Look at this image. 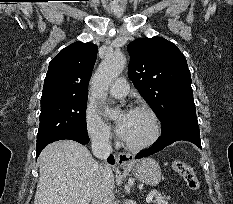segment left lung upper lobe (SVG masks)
I'll return each mask as SVG.
<instances>
[{
  "label": "left lung upper lobe",
  "instance_id": "obj_1",
  "mask_svg": "<svg viewBox=\"0 0 233 204\" xmlns=\"http://www.w3.org/2000/svg\"><path fill=\"white\" fill-rule=\"evenodd\" d=\"M128 51V76L157 114L162 132L179 124H198L190 71L178 47L161 37L140 38Z\"/></svg>",
  "mask_w": 233,
  "mask_h": 204
}]
</instances>
